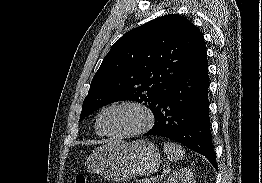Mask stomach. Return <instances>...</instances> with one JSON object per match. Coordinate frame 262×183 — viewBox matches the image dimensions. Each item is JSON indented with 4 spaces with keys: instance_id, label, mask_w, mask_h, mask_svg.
Returning <instances> with one entry per match:
<instances>
[{
    "instance_id": "obj_1",
    "label": "stomach",
    "mask_w": 262,
    "mask_h": 183,
    "mask_svg": "<svg viewBox=\"0 0 262 183\" xmlns=\"http://www.w3.org/2000/svg\"><path fill=\"white\" fill-rule=\"evenodd\" d=\"M160 161L159 150L152 142L112 139L90 154L85 168L89 173L123 182L131 177L153 174L158 170Z\"/></svg>"
}]
</instances>
